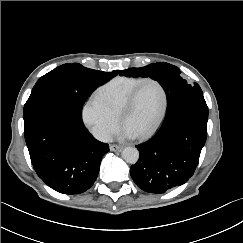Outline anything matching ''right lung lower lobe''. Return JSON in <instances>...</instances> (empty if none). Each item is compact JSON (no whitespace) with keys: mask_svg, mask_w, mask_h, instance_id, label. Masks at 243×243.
I'll list each match as a JSON object with an SVG mask.
<instances>
[{"mask_svg":"<svg viewBox=\"0 0 243 243\" xmlns=\"http://www.w3.org/2000/svg\"><path fill=\"white\" fill-rule=\"evenodd\" d=\"M24 135L37 175L63 194H79L95 182L109 145L85 128L81 112L67 101L33 94L23 112Z\"/></svg>","mask_w":243,"mask_h":243,"instance_id":"1","label":"right lung lower lobe"}]
</instances>
